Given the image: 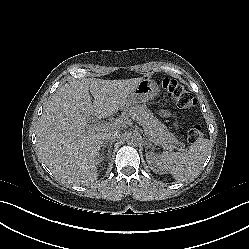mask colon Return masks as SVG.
I'll return each instance as SVG.
<instances>
[{"label": "colon", "mask_w": 249, "mask_h": 249, "mask_svg": "<svg viewBox=\"0 0 249 249\" xmlns=\"http://www.w3.org/2000/svg\"><path fill=\"white\" fill-rule=\"evenodd\" d=\"M158 86L163 88L168 96L176 103L182 110L191 109L195 103V96L188 92L180 83L174 79L165 78L158 81ZM204 135L203 129L200 126H194L187 133V139L195 142Z\"/></svg>", "instance_id": "5ec220e1"}]
</instances>
